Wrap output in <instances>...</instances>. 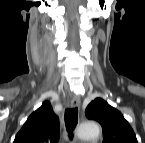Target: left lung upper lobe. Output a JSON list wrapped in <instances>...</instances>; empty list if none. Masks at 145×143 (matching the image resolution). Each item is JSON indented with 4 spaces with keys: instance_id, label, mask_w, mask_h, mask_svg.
Returning <instances> with one entry per match:
<instances>
[{
    "instance_id": "1",
    "label": "left lung upper lobe",
    "mask_w": 145,
    "mask_h": 143,
    "mask_svg": "<svg viewBox=\"0 0 145 143\" xmlns=\"http://www.w3.org/2000/svg\"><path fill=\"white\" fill-rule=\"evenodd\" d=\"M86 116L98 121L103 129V143H137L136 135L123 115L101 98L92 101Z\"/></svg>"
}]
</instances>
